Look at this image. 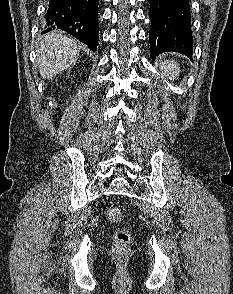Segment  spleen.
<instances>
[{"label": "spleen", "mask_w": 233, "mask_h": 294, "mask_svg": "<svg viewBox=\"0 0 233 294\" xmlns=\"http://www.w3.org/2000/svg\"><path fill=\"white\" fill-rule=\"evenodd\" d=\"M160 69L162 73L169 78L178 77L180 74V68L174 61L164 60L160 63Z\"/></svg>", "instance_id": "spleen-1"}]
</instances>
